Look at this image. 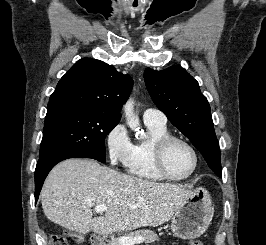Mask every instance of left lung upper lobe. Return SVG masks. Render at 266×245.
Here are the masks:
<instances>
[{
	"label": "left lung upper lobe",
	"mask_w": 266,
	"mask_h": 245,
	"mask_svg": "<svg viewBox=\"0 0 266 245\" xmlns=\"http://www.w3.org/2000/svg\"><path fill=\"white\" fill-rule=\"evenodd\" d=\"M144 80L156 106L190 139L215 174L222 177L219 142L210 106L198 82L180 66L162 71L146 68Z\"/></svg>",
	"instance_id": "left-lung-upper-lobe-1"
}]
</instances>
